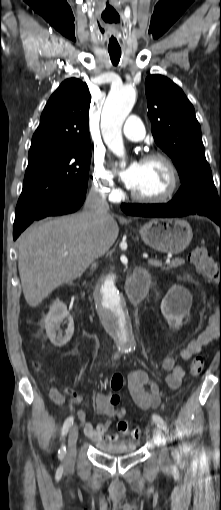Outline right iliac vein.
I'll use <instances>...</instances> for the list:
<instances>
[{"label": "right iliac vein", "instance_id": "obj_1", "mask_svg": "<svg viewBox=\"0 0 221 510\" xmlns=\"http://www.w3.org/2000/svg\"><path fill=\"white\" fill-rule=\"evenodd\" d=\"M78 439V427L73 426L68 435V455L66 458V464L71 466L74 463L76 456V443Z\"/></svg>", "mask_w": 221, "mask_h": 510}]
</instances>
